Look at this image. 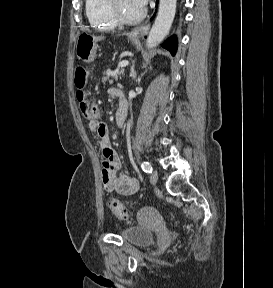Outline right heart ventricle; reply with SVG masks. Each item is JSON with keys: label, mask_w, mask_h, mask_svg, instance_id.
Wrapping results in <instances>:
<instances>
[{"label": "right heart ventricle", "mask_w": 273, "mask_h": 288, "mask_svg": "<svg viewBox=\"0 0 273 288\" xmlns=\"http://www.w3.org/2000/svg\"><path fill=\"white\" fill-rule=\"evenodd\" d=\"M86 15L96 29L110 30L117 26L108 14L107 0H86Z\"/></svg>", "instance_id": "right-heart-ventricle-1"}]
</instances>
